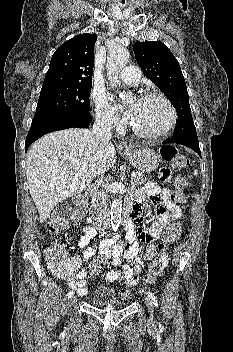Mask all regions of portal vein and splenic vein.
<instances>
[{
    "instance_id": "obj_1",
    "label": "portal vein and splenic vein",
    "mask_w": 233,
    "mask_h": 352,
    "mask_svg": "<svg viewBox=\"0 0 233 352\" xmlns=\"http://www.w3.org/2000/svg\"><path fill=\"white\" fill-rule=\"evenodd\" d=\"M136 176H137V174H136V173H132V177H134V178H135Z\"/></svg>"
}]
</instances>
